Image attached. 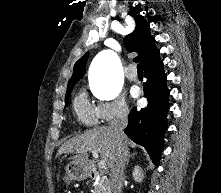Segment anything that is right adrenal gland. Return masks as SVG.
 <instances>
[{
    "mask_svg": "<svg viewBox=\"0 0 221 193\" xmlns=\"http://www.w3.org/2000/svg\"><path fill=\"white\" fill-rule=\"evenodd\" d=\"M135 154H136V153H134V154H130V153L128 152L127 160H126V165L129 164V160H130V158H133V157L135 156Z\"/></svg>",
    "mask_w": 221,
    "mask_h": 193,
    "instance_id": "right-adrenal-gland-1",
    "label": "right adrenal gland"
}]
</instances>
